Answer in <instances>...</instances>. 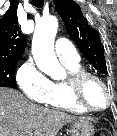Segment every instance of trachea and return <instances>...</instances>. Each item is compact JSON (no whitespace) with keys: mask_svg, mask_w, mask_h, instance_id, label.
<instances>
[{"mask_svg":"<svg viewBox=\"0 0 117 136\" xmlns=\"http://www.w3.org/2000/svg\"><path fill=\"white\" fill-rule=\"evenodd\" d=\"M32 5L36 8H42L44 5V0H32Z\"/></svg>","mask_w":117,"mask_h":136,"instance_id":"obj_1","label":"trachea"}]
</instances>
